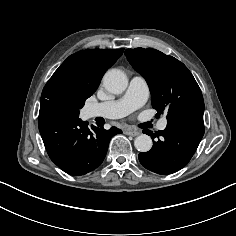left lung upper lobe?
<instances>
[{
  "instance_id": "obj_1",
  "label": "left lung upper lobe",
  "mask_w": 236,
  "mask_h": 236,
  "mask_svg": "<svg viewBox=\"0 0 236 236\" xmlns=\"http://www.w3.org/2000/svg\"><path fill=\"white\" fill-rule=\"evenodd\" d=\"M133 68L148 82L157 115L167 112V120L204 113L201 90L188 68L176 58L155 49H127Z\"/></svg>"
}]
</instances>
